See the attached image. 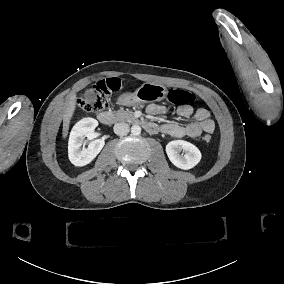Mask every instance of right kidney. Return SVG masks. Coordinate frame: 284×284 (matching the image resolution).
I'll list each match as a JSON object with an SVG mask.
<instances>
[{
  "label": "right kidney",
  "instance_id": "1",
  "mask_svg": "<svg viewBox=\"0 0 284 284\" xmlns=\"http://www.w3.org/2000/svg\"><path fill=\"white\" fill-rule=\"evenodd\" d=\"M97 126L98 121L94 118H83L73 126L68 142V157L75 166L89 164L104 147V140L96 139L87 148L81 149L84 138H89Z\"/></svg>",
  "mask_w": 284,
  "mask_h": 284
}]
</instances>
